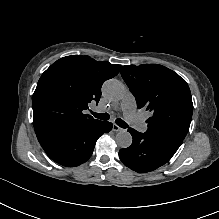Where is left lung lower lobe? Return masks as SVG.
Instances as JSON below:
<instances>
[{"mask_svg": "<svg viewBox=\"0 0 219 219\" xmlns=\"http://www.w3.org/2000/svg\"><path fill=\"white\" fill-rule=\"evenodd\" d=\"M128 131L133 137L131 146L121 149L119 157L128 168L146 173L167 163L175 154L166 147L149 139L146 133H140L132 128Z\"/></svg>", "mask_w": 219, "mask_h": 219, "instance_id": "1", "label": "left lung lower lobe"}]
</instances>
